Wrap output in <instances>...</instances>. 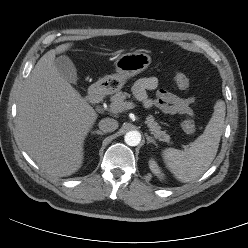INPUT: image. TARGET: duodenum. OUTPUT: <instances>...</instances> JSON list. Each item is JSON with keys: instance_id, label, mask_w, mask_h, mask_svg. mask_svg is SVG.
Listing matches in <instances>:
<instances>
[{"instance_id": "410a0bca", "label": "duodenum", "mask_w": 248, "mask_h": 248, "mask_svg": "<svg viewBox=\"0 0 248 248\" xmlns=\"http://www.w3.org/2000/svg\"><path fill=\"white\" fill-rule=\"evenodd\" d=\"M89 98H90L91 102L94 104L100 103V101H101L100 92L98 90L92 91L89 95Z\"/></svg>"}]
</instances>
